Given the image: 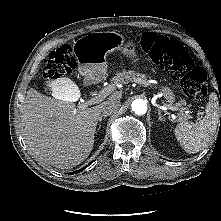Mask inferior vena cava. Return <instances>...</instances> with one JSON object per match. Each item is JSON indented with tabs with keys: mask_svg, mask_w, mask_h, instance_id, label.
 I'll return each mask as SVG.
<instances>
[{
	"mask_svg": "<svg viewBox=\"0 0 221 221\" xmlns=\"http://www.w3.org/2000/svg\"><path fill=\"white\" fill-rule=\"evenodd\" d=\"M121 106V103L119 100H110L106 101L102 107V113L103 115H110L112 113H115Z\"/></svg>",
	"mask_w": 221,
	"mask_h": 221,
	"instance_id": "inferior-vena-cava-1",
	"label": "inferior vena cava"
}]
</instances>
